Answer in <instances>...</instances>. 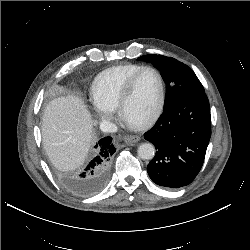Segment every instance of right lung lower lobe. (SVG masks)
<instances>
[{"label": "right lung lower lobe", "mask_w": 250, "mask_h": 250, "mask_svg": "<svg viewBox=\"0 0 250 250\" xmlns=\"http://www.w3.org/2000/svg\"><path fill=\"white\" fill-rule=\"evenodd\" d=\"M95 148L94 158L75 181V190L81 196H92L100 192L109 177L110 159L116 151L112 137L100 139Z\"/></svg>", "instance_id": "obj_1"}]
</instances>
